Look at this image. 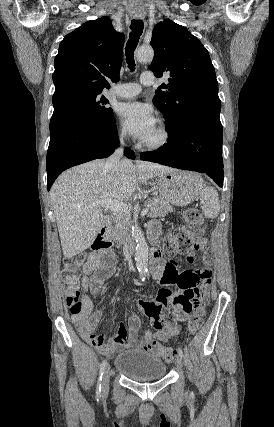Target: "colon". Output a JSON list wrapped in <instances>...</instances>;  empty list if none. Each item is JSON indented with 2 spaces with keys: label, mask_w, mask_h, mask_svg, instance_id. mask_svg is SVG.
<instances>
[{
  "label": "colon",
  "mask_w": 274,
  "mask_h": 427,
  "mask_svg": "<svg viewBox=\"0 0 274 427\" xmlns=\"http://www.w3.org/2000/svg\"><path fill=\"white\" fill-rule=\"evenodd\" d=\"M184 219L186 221L185 224L173 226L171 233L165 237L163 242L165 253H174L175 248H188L197 242L199 236H204L205 223L196 207L186 208ZM82 262V256L75 255L66 259L62 265V270L65 274V303L72 315H80L83 310L78 288L79 267ZM207 314L206 309H196L192 317L187 318L190 329L187 330L188 337L182 338L183 346L191 345V339H195V334L203 329L202 320L207 317ZM144 348L154 351V355L158 356L159 359L171 358V348L161 347L160 341L149 340L144 343ZM170 360L172 361L173 359L171 358Z\"/></svg>",
  "instance_id": "obj_1"
}]
</instances>
